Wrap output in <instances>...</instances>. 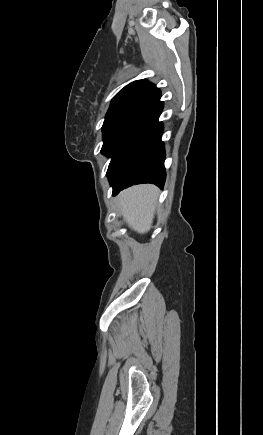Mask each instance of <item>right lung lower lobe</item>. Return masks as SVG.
<instances>
[{
  "mask_svg": "<svg viewBox=\"0 0 263 435\" xmlns=\"http://www.w3.org/2000/svg\"><path fill=\"white\" fill-rule=\"evenodd\" d=\"M160 97L146 104L134 119L109 165L107 176L113 195L134 184L153 183L160 188L164 185L163 125L158 121L163 109Z\"/></svg>",
  "mask_w": 263,
  "mask_h": 435,
  "instance_id": "98d812e1",
  "label": "right lung lower lobe"
}]
</instances>
